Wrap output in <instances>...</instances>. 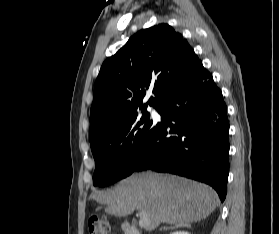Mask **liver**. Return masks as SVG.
Wrapping results in <instances>:
<instances>
[{
	"label": "liver",
	"instance_id": "obj_1",
	"mask_svg": "<svg viewBox=\"0 0 279 234\" xmlns=\"http://www.w3.org/2000/svg\"><path fill=\"white\" fill-rule=\"evenodd\" d=\"M107 205V213L125 217L135 210L149 219V230L161 223L184 225L208 217L218 206L217 193L209 186L174 175L153 172L134 174L110 191L91 196Z\"/></svg>",
	"mask_w": 279,
	"mask_h": 234
}]
</instances>
